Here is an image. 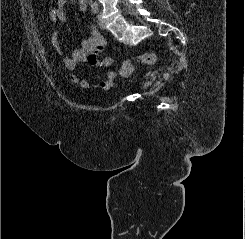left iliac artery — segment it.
Instances as JSON below:
<instances>
[{"label": "left iliac artery", "instance_id": "1", "mask_svg": "<svg viewBox=\"0 0 245 239\" xmlns=\"http://www.w3.org/2000/svg\"><path fill=\"white\" fill-rule=\"evenodd\" d=\"M91 8H92V12L93 13H95V14L98 13L99 7H98V3L97 2H92Z\"/></svg>", "mask_w": 245, "mask_h": 239}]
</instances>
